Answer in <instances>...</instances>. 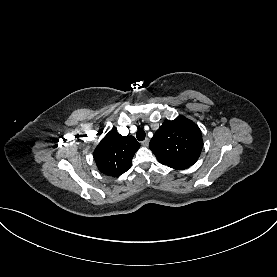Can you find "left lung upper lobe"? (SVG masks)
<instances>
[{
  "label": "left lung upper lobe",
  "instance_id": "5c2ea615",
  "mask_svg": "<svg viewBox=\"0 0 277 277\" xmlns=\"http://www.w3.org/2000/svg\"><path fill=\"white\" fill-rule=\"evenodd\" d=\"M202 147L199 127L183 116H178L173 121L166 120L149 144L161 164L177 170L193 165L199 158Z\"/></svg>",
  "mask_w": 277,
  "mask_h": 277
}]
</instances>
